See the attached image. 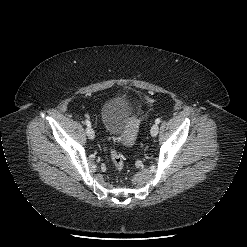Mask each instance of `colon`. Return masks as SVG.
Instances as JSON below:
<instances>
[{"label":"colon","mask_w":247,"mask_h":247,"mask_svg":"<svg viewBox=\"0 0 247 247\" xmlns=\"http://www.w3.org/2000/svg\"><path fill=\"white\" fill-rule=\"evenodd\" d=\"M111 160L113 165L118 171H122L124 168V160L122 155L113 147L111 149Z\"/></svg>","instance_id":"1"}]
</instances>
